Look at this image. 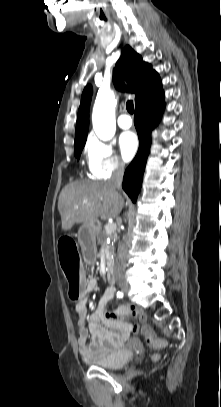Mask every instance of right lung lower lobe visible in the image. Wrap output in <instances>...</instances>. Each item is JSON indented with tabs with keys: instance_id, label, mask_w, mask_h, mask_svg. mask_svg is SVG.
<instances>
[{
	"instance_id": "1",
	"label": "right lung lower lobe",
	"mask_w": 221,
	"mask_h": 407,
	"mask_svg": "<svg viewBox=\"0 0 221 407\" xmlns=\"http://www.w3.org/2000/svg\"><path fill=\"white\" fill-rule=\"evenodd\" d=\"M163 91L136 107L135 127L139 138V149L134 160L125 170L122 188L133 202L141 189L143 173L151 145V130L159 123L163 112Z\"/></svg>"
}]
</instances>
